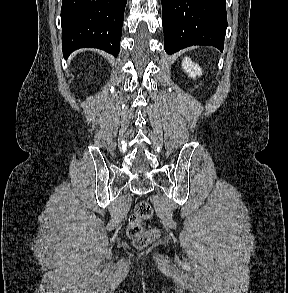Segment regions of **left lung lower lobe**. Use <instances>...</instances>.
I'll return each mask as SVG.
<instances>
[{
    "label": "left lung lower lobe",
    "mask_w": 288,
    "mask_h": 293,
    "mask_svg": "<svg viewBox=\"0 0 288 293\" xmlns=\"http://www.w3.org/2000/svg\"><path fill=\"white\" fill-rule=\"evenodd\" d=\"M165 51L192 45L223 51L227 28L225 0H161Z\"/></svg>",
    "instance_id": "1"
}]
</instances>
